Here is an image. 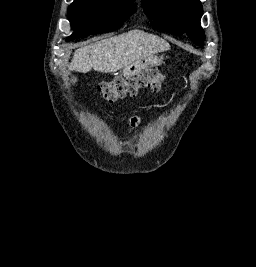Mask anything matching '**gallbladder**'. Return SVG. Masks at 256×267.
I'll use <instances>...</instances> for the list:
<instances>
[{
	"label": "gallbladder",
	"mask_w": 256,
	"mask_h": 267,
	"mask_svg": "<svg viewBox=\"0 0 256 267\" xmlns=\"http://www.w3.org/2000/svg\"><path fill=\"white\" fill-rule=\"evenodd\" d=\"M68 82L69 84H76L77 78H74V76H72V78H69Z\"/></svg>",
	"instance_id": "1"
}]
</instances>
